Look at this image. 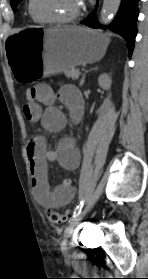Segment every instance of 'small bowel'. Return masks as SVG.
Segmentation results:
<instances>
[{"instance_id":"small-bowel-1","label":"small bowel","mask_w":148,"mask_h":279,"mask_svg":"<svg viewBox=\"0 0 148 279\" xmlns=\"http://www.w3.org/2000/svg\"><path fill=\"white\" fill-rule=\"evenodd\" d=\"M35 98L27 102L24 115L32 123L40 122L49 132L57 133L67 125L66 115L54 105L58 99L70 111L74 121H78L83 112V101L79 91L72 86H62L55 92L46 84L34 86ZM30 162L31 184L35 200L45 208H58L69 204L74 197L71 179H64L53 189L47 177V162L57 161L63 168L74 170L79 165L80 155L70 138L62 139L55 150H48L45 138L33 137L27 144Z\"/></svg>"}]
</instances>
